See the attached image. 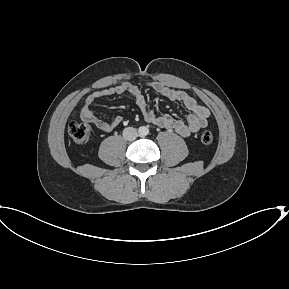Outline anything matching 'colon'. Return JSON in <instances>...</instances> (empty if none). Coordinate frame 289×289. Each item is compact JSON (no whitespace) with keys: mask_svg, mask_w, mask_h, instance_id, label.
Returning a JSON list of instances; mask_svg holds the SVG:
<instances>
[{"mask_svg":"<svg viewBox=\"0 0 289 289\" xmlns=\"http://www.w3.org/2000/svg\"><path fill=\"white\" fill-rule=\"evenodd\" d=\"M68 133L71 138L78 144H84L88 141L90 135V125L84 120H72L68 124ZM200 141L207 145L213 141V134L211 131H203L200 135Z\"/></svg>","mask_w":289,"mask_h":289,"instance_id":"obj_1","label":"colon"}]
</instances>
